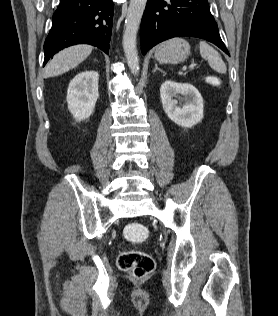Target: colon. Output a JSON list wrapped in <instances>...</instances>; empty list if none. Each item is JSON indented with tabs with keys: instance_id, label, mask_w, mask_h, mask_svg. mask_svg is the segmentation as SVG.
I'll list each match as a JSON object with an SVG mask.
<instances>
[{
	"instance_id": "colon-1",
	"label": "colon",
	"mask_w": 278,
	"mask_h": 316,
	"mask_svg": "<svg viewBox=\"0 0 278 316\" xmlns=\"http://www.w3.org/2000/svg\"><path fill=\"white\" fill-rule=\"evenodd\" d=\"M208 83L213 86L220 84L217 76H209ZM125 238L134 243L142 242L149 236V230L141 223H130L124 229ZM117 266L134 278L141 279L150 275L155 268V261L146 252L138 250L122 251L117 257Z\"/></svg>"
}]
</instances>
